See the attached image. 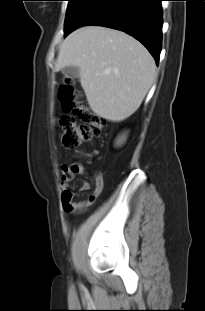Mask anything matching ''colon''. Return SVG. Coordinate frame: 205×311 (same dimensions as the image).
<instances>
[{
    "label": "colon",
    "instance_id": "5ec220e1",
    "mask_svg": "<svg viewBox=\"0 0 205 311\" xmlns=\"http://www.w3.org/2000/svg\"><path fill=\"white\" fill-rule=\"evenodd\" d=\"M80 92L71 82L58 89V100L64 112L71 113L60 118L61 142L64 148L76 150L102 132L104 122L96 116L80 99ZM77 117L80 122H77Z\"/></svg>",
    "mask_w": 205,
    "mask_h": 311
}]
</instances>
